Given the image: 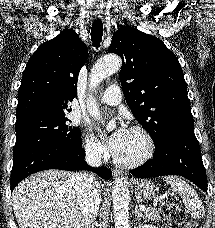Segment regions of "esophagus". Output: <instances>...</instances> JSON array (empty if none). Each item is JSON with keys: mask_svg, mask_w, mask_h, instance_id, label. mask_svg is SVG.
I'll return each instance as SVG.
<instances>
[{"mask_svg": "<svg viewBox=\"0 0 215 228\" xmlns=\"http://www.w3.org/2000/svg\"><path fill=\"white\" fill-rule=\"evenodd\" d=\"M98 17H101V15H97ZM113 175L115 177H118V176H121L122 175V172L119 171V170H113Z\"/></svg>", "mask_w": 215, "mask_h": 228, "instance_id": "esophagus-1", "label": "esophagus"}]
</instances>
